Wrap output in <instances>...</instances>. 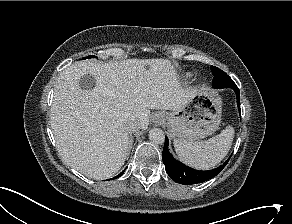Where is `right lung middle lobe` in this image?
<instances>
[{"label": "right lung middle lobe", "instance_id": "obj_1", "mask_svg": "<svg viewBox=\"0 0 292 224\" xmlns=\"http://www.w3.org/2000/svg\"><path fill=\"white\" fill-rule=\"evenodd\" d=\"M91 57H93V58H94L95 56H88L87 58H91Z\"/></svg>", "mask_w": 292, "mask_h": 224}]
</instances>
